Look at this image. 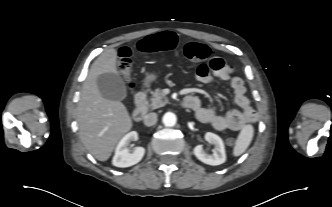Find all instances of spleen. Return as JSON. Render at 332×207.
<instances>
[{"mask_svg": "<svg viewBox=\"0 0 332 207\" xmlns=\"http://www.w3.org/2000/svg\"><path fill=\"white\" fill-rule=\"evenodd\" d=\"M253 136H254L253 126L252 125L244 126L236 140L233 149V155L237 157L243 154L245 150L249 147L253 139Z\"/></svg>", "mask_w": 332, "mask_h": 207, "instance_id": "3e777b00", "label": "spleen"}]
</instances>
